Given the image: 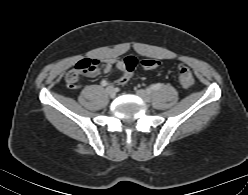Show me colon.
<instances>
[{"instance_id": "colon-1", "label": "colon", "mask_w": 248, "mask_h": 195, "mask_svg": "<svg viewBox=\"0 0 248 195\" xmlns=\"http://www.w3.org/2000/svg\"><path fill=\"white\" fill-rule=\"evenodd\" d=\"M92 60L79 61L66 75V83L69 87L75 86L82 75L90 70ZM124 67V76L122 82L126 83L132 77V74L137 66V59L133 56H128L122 59ZM161 65L157 59H144L141 61V66L144 69H156ZM178 80L183 88H190L194 84V75L189 67L186 65H179L178 67Z\"/></svg>"}]
</instances>
